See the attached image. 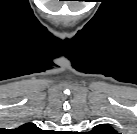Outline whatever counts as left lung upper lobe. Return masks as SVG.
I'll list each match as a JSON object with an SVG mask.
<instances>
[{"instance_id":"5c2ea615","label":"left lung upper lobe","mask_w":137,"mask_h":134,"mask_svg":"<svg viewBox=\"0 0 137 134\" xmlns=\"http://www.w3.org/2000/svg\"><path fill=\"white\" fill-rule=\"evenodd\" d=\"M91 134H117V132L109 125L99 124L93 128Z\"/></svg>"}]
</instances>
